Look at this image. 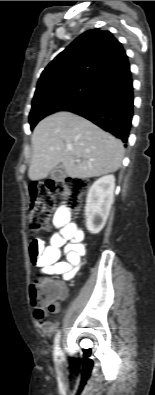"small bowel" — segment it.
<instances>
[{
	"label": "small bowel",
	"instance_id": "1",
	"mask_svg": "<svg viewBox=\"0 0 155 395\" xmlns=\"http://www.w3.org/2000/svg\"><path fill=\"white\" fill-rule=\"evenodd\" d=\"M53 224L58 229L47 244V237H32L29 240L27 249V260H31L33 270H41L45 274L61 275L64 280L72 278L82 263V257L85 254L86 246L84 243V234L71 221L69 212L60 207L54 214ZM64 256V260L61 257ZM65 296V289H62V297ZM57 305L52 313H57ZM34 317L41 330L45 333H51L55 330L57 322H51L46 319V310L34 311Z\"/></svg>",
	"mask_w": 155,
	"mask_h": 395
}]
</instances>
